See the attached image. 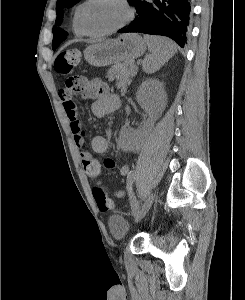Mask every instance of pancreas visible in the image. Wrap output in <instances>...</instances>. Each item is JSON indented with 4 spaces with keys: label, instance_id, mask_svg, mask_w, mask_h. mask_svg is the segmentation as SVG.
<instances>
[{
    "label": "pancreas",
    "instance_id": "1",
    "mask_svg": "<svg viewBox=\"0 0 245 300\" xmlns=\"http://www.w3.org/2000/svg\"><path fill=\"white\" fill-rule=\"evenodd\" d=\"M137 68L132 61L117 63L112 66L107 73L106 78L109 81L116 79V85L122 92H126L127 86L130 85L132 77L136 74Z\"/></svg>",
    "mask_w": 245,
    "mask_h": 300
}]
</instances>
